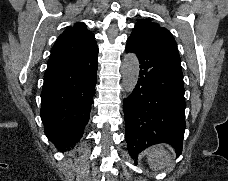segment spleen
I'll list each match as a JSON object with an SVG mask.
<instances>
[{
	"label": "spleen",
	"mask_w": 228,
	"mask_h": 181,
	"mask_svg": "<svg viewBox=\"0 0 228 181\" xmlns=\"http://www.w3.org/2000/svg\"><path fill=\"white\" fill-rule=\"evenodd\" d=\"M146 155L152 171H161V169H165L171 163V155H169L163 145H156V147L146 149Z\"/></svg>",
	"instance_id": "obj_1"
}]
</instances>
